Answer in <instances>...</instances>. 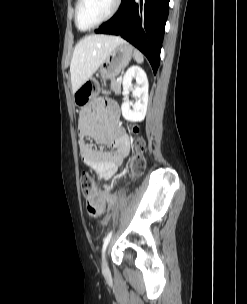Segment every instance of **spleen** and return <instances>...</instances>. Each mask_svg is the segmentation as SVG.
<instances>
[{
  "instance_id": "3e777b00",
  "label": "spleen",
  "mask_w": 247,
  "mask_h": 304,
  "mask_svg": "<svg viewBox=\"0 0 247 304\" xmlns=\"http://www.w3.org/2000/svg\"><path fill=\"white\" fill-rule=\"evenodd\" d=\"M134 59L137 63H143L144 61L143 55L137 49H134Z\"/></svg>"
}]
</instances>
